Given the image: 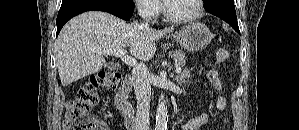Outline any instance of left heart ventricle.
Returning <instances> with one entry per match:
<instances>
[{
	"instance_id": "b2bd125f",
	"label": "left heart ventricle",
	"mask_w": 299,
	"mask_h": 130,
	"mask_svg": "<svg viewBox=\"0 0 299 130\" xmlns=\"http://www.w3.org/2000/svg\"><path fill=\"white\" fill-rule=\"evenodd\" d=\"M195 0H173L168 2V10L174 16H183L193 12Z\"/></svg>"
}]
</instances>
